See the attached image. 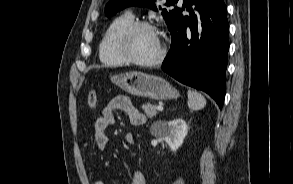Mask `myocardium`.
I'll return each instance as SVG.
<instances>
[{
	"label": "myocardium",
	"instance_id": "myocardium-1",
	"mask_svg": "<svg viewBox=\"0 0 293 184\" xmlns=\"http://www.w3.org/2000/svg\"><path fill=\"white\" fill-rule=\"evenodd\" d=\"M141 28H147L154 31L160 38L161 48L159 54L152 60H139L132 56L129 51V42L130 38L135 31ZM117 51L120 56L128 63L142 66V67H152L160 64L167 53V45L165 40L162 37V34L157 26L153 23L144 21V20H136L128 24L119 34L116 42Z\"/></svg>",
	"mask_w": 293,
	"mask_h": 184
}]
</instances>
